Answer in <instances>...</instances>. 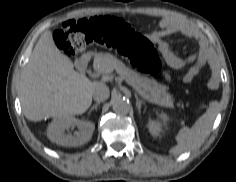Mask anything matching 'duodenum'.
<instances>
[{"label":"duodenum","instance_id":"obj_1","mask_svg":"<svg viewBox=\"0 0 236 182\" xmlns=\"http://www.w3.org/2000/svg\"><path fill=\"white\" fill-rule=\"evenodd\" d=\"M90 58L86 55L82 56L78 61H77V69L80 73H86L88 69Z\"/></svg>","mask_w":236,"mask_h":182}]
</instances>
